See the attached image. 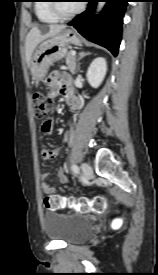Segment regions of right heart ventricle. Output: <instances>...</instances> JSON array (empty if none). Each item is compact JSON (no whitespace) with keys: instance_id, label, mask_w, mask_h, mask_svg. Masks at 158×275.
Masks as SVG:
<instances>
[{"instance_id":"1","label":"right heart ventricle","mask_w":158,"mask_h":275,"mask_svg":"<svg viewBox=\"0 0 158 275\" xmlns=\"http://www.w3.org/2000/svg\"><path fill=\"white\" fill-rule=\"evenodd\" d=\"M50 0H39L35 6L36 15L41 22L56 23L60 19L54 15L50 8Z\"/></svg>"}]
</instances>
